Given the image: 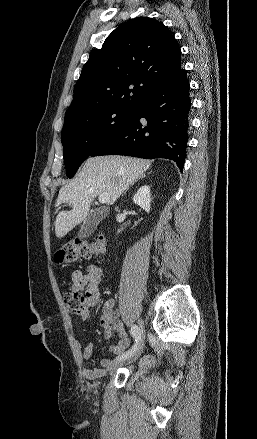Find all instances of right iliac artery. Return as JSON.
Here are the masks:
<instances>
[{"label":"right iliac artery","instance_id":"obj_1","mask_svg":"<svg viewBox=\"0 0 257 439\" xmlns=\"http://www.w3.org/2000/svg\"><path fill=\"white\" fill-rule=\"evenodd\" d=\"M131 335L135 340V345L130 350L123 353L121 356H118L117 359H119V358L126 359L137 350V346H138L139 341L141 339V332H140L139 327L136 324L131 326Z\"/></svg>","mask_w":257,"mask_h":439}]
</instances>
